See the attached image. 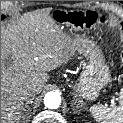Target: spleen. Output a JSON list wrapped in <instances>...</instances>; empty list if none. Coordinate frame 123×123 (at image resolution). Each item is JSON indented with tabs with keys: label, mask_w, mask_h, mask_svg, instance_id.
I'll use <instances>...</instances> for the list:
<instances>
[{
	"label": "spleen",
	"mask_w": 123,
	"mask_h": 123,
	"mask_svg": "<svg viewBox=\"0 0 123 123\" xmlns=\"http://www.w3.org/2000/svg\"><path fill=\"white\" fill-rule=\"evenodd\" d=\"M90 112L99 123H123V88L119 93V106L113 109L103 105H93Z\"/></svg>",
	"instance_id": "1"
}]
</instances>
